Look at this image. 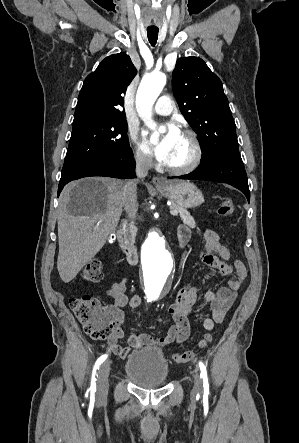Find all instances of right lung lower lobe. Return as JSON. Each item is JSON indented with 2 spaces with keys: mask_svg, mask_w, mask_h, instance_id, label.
Masks as SVG:
<instances>
[{
  "mask_svg": "<svg viewBox=\"0 0 299 443\" xmlns=\"http://www.w3.org/2000/svg\"><path fill=\"white\" fill-rule=\"evenodd\" d=\"M135 160L133 152L117 158H108L88 164L68 176L61 178L58 188V196L63 187L70 181L89 176H106L120 179L134 178Z\"/></svg>",
  "mask_w": 299,
  "mask_h": 443,
  "instance_id": "obj_1",
  "label": "right lung lower lobe"
}]
</instances>
